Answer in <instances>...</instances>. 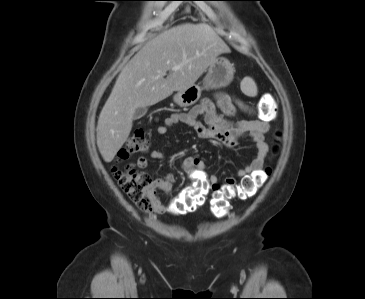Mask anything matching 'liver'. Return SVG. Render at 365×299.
<instances>
[{
	"label": "liver",
	"mask_w": 365,
	"mask_h": 299,
	"mask_svg": "<svg viewBox=\"0 0 365 299\" xmlns=\"http://www.w3.org/2000/svg\"><path fill=\"white\" fill-rule=\"evenodd\" d=\"M229 52L206 23H183L149 41L123 68L99 115L97 146L104 161L111 162L126 142L137 108L191 87L220 54ZM175 66L180 69L172 71Z\"/></svg>",
	"instance_id": "6515ba94"
}]
</instances>
